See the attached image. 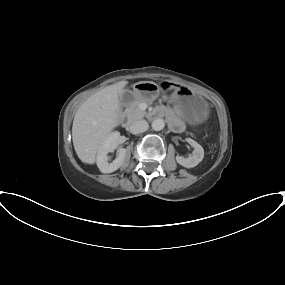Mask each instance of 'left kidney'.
<instances>
[{
  "mask_svg": "<svg viewBox=\"0 0 285 285\" xmlns=\"http://www.w3.org/2000/svg\"><path fill=\"white\" fill-rule=\"evenodd\" d=\"M186 141L194 148L193 154L188 158L182 156H176V161L186 168H192L197 166L204 158V149L196 141L191 138H187Z\"/></svg>",
  "mask_w": 285,
  "mask_h": 285,
  "instance_id": "left-kidney-1",
  "label": "left kidney"
}]
</instances>
